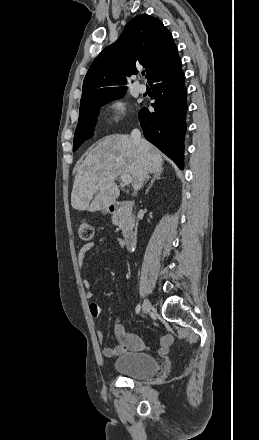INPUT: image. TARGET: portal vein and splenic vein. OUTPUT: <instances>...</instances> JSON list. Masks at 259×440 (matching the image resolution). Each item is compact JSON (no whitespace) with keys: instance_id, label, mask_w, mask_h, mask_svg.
I'll list each match as a JSON object with an SVG mask.
<instances>
[{"instance_id":"obj_1","label":"portal vein and splenic vein","mask_w":259,"mask_h":440,"mask_svg":"<svg viewBox=\"0 0 259 440\" xmlns=\"http://www.w3.org/2000/svg\"><path fill=\"white\" fill-rule=\"evenodd\" d=\"M120 178L125 185H129L132 181V177L128 174H121Z\"/></svg>"}]
</instances>
